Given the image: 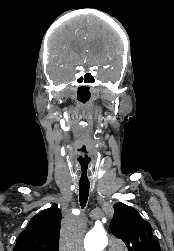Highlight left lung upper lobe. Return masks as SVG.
Here are the masks:
<instances>
[{"instance_id":"1","label":"left lung upper lobe","mask_w":174,"mask_h":251,"mask_svg":"<svg viewBox=\"0 0 174 251\" xmlns=\"http://www.w3.org/2000/svg\"><path fill=\"white\" fill-rule=\"evenodd\" d=\"M110 228L115 237L124 241L128 251H161L151 225L136 209L128 205H114V217Z\"/></svg>"}]
</instances>
